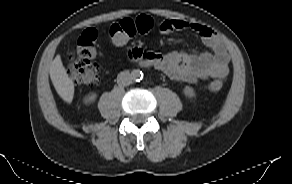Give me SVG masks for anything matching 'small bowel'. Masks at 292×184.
Segmentation results:
<instances>
[{
    "label": "small bowel",
    "mask_w": 292,
    "mask_h": 184,
    "mask_svg": "<svg viewBox=\"0 0 292 184\" xmlns=\"http://www.w3.org/2000/svg\"><path fill=\"white\" fill-rule=\"evenodd\" d=\"M162 34L176 30H192L209 48L208 52H170L163 55L147 53L154 65L173 80L194 83L208 78L222 79L228 72L229 54L215 31L202 24L181 19H164L155 23Z\"/></svg>",
    "instance_id": "obj_1"
}]
</instances>
